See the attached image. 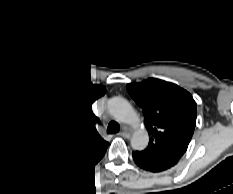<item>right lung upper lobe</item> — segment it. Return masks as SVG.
<instances>
[{
  "instance_id": "obj_1",
  "label": "right lung upper lobe",
  "mask_w": 233,
  "mask_h": 194,
  "mask_svg": "<svg viewBox=\"0 0 233 194\" xmlns=\"http://www.w3.org/2000/svg\"><path fill=\"white\" fill-rule=\"evenodd\" d=\"M99 95L86 87L64 89L47 101L44 131L53 154L71 167L95 164L108 143L97 133L91 105Z\"/></svg>"
}]
</instances>
